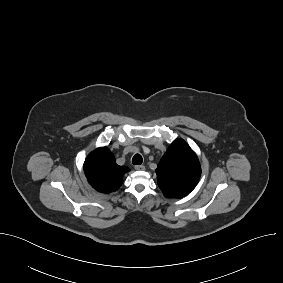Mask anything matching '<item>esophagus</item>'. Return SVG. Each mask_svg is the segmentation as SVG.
I'll return each mask as SVG.
<instances>
[{
    "label": "esophagus",
    "instance_id": "esophagus-1",
    "mask_svg": "<svg viewBox=\"0 0 283 283\" xmlns=\"http://www.w3.org/2000/svg\"><path fill=\"white\" fill-rule=\"evenodd\" d=\"M135 169L138 170V171L145 170V166L144 165H136Z\"/></svg>",
    "mask_w": 283,
    "mask_h": 283
}]
</instances>
